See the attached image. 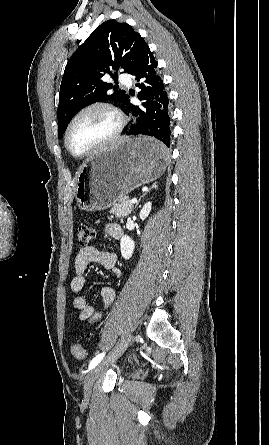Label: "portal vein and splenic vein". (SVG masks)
Wrapping results in <instances>:
<instances>
[{
    "instance_id": "1",
    "label": "portal vein and splenic vein",
    "mask_w": 269,
    "mask_h": 445,
    "mask_svg": "<svg viewBox=\"0 0 269 445\" xmlns=\"http://www.w3.org/2000/svg\"><path fill=\"white\" fill-rule=\"evenodd\" d=\"M137 202V199L136 198H133L132 200H131V203L132 204H135Z\"/></svg>"
}]
</instances>
